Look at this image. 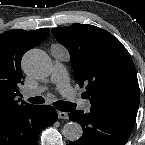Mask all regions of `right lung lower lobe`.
I'll use <instances>...</instances> for the list:
<instances>
[{
    "instance_id": "1",
    "label": "right lung lower lobe",
    "mask_w": 145,
    "mask_h": 145,
    "mask_svg": "<svg viewBox=\"0 0 145 145\" xmlns=\"http://www.w3.org/2000/svg\"><path fill=\"white\" fill-rule=\"evenodd\" d=\"M48 105H29L0 118V145H37L41 130L57 121Z\"/></svg>"
}]
</instances>
